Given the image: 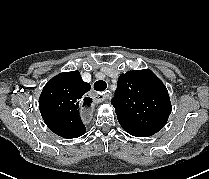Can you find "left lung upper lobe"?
I'll use <instances>...</instances> for the list:
<instances>
[{
    "label": "left lung upper lobe",
    "instance_id": "5c2ea615",
    "mask_svg": "<svg viewBox=\"0 0 209 179\" xmlns=\"http://www.w3.org/2000/svg\"><path fill=\"white\" fill-rule=\"evenodd\" d=\"M111 104L118 121L153 134L164 127L172 109L165 85L148 69L121 74Z\"/></svg>",
    "mask_w": 209,
    "mask_h": 179
}]
</instances>
